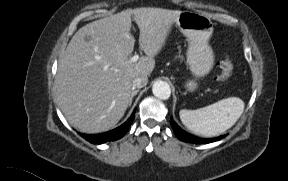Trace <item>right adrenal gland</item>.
Instances as JSON below:
<instances>
[{
    "label": "right adrenal gland",
    "instance_id": "right-adrenal-gland-1",
    "mask_svg": "<svg viewBox=\"0 0 288 181\" xmlns=\"http://www.w3.org/2000/svg\"><path fill=\"white\" fill-rule=\"evenodd\" d=\"M139 92V89L137 90H134L131 94V97H130V102H129V106L132 104V100H133V97Z\"/></svg>",
    "mask_w": 288,
    "mask_h": 181
}]
</instances>
